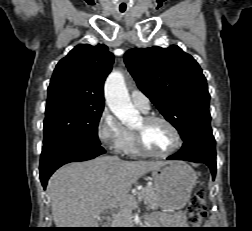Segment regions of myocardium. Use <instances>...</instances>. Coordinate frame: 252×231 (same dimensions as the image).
I'll use <instances>...</instances> for the list:
<instances>
[{"instance_id":"1","label":"myocardium","mask_w":252,"mask_h":231,"mask_svg":"<svg viewBox=\"0 0 252 231\" xmlns=\"http://www.w3.org/2000/svg\"><path fill=\"white\" fill-rule=\"evenodd\" d=\"M142 121H143L144 127L148 126L149 124L153 122H162L166 124L174 135L175 143L173 147L167 152L155 153L146 146L145 141H144L143 130L132 129L135 146L141 154L149 156V157H155V158H167L173 155L175 152H177V150L181 147V144H182L181 134L179 130L177 129V127L170 120H168L167 118L163 116L146 115L142 118Z\"/></svg>"}]
</instances>
